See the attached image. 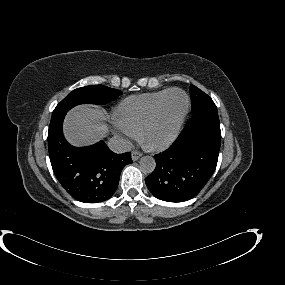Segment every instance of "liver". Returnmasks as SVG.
I'll return each instance as SVG.
<instances>
[{
	"label": "liver",
	"instance_id": "1",
	"mask_svg": "<svg viewBox=\"0 0 285 285\" xmlns=\"http://www.w3.org/2000/svg\"><path fill=\"white\" fill-rule=\"evenodd\" d=\"M107 119V112L100 107L77 106L65 118V137L76 146L93 144L107 133L108 127L104 122Z\"/></svg>",
	"mask_w": 285,
	"mask_h": 285
}]
</instances>
